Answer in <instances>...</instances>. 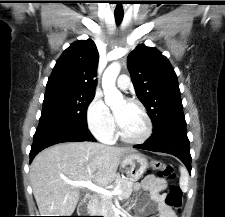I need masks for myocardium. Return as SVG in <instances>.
I'll return each instance as SVG.
<instances>
[{
    "label": "myocardium",
    "mask_w": 225,
    "mask_h": 217,
    "mask_svg": "<svg viewBox=\"0 0 225 217\" xmlns=\"http://www.w3.org/2000/svg\"><path fill=\"white\" fill-rule=\"evenodd\" d=\"M126 101L128 103L134 105L135 107H137L139 109V111L141 112V114L143 115V118L145 120V130L140 137L130 138L123 134L119 123H117L118 136L125 143L133 144V145L142 144V143L146 142L152 135L153 126H152L151 118H150L146 108L140 101H138L136 99H132V98H129Z\"/></svg>",
    "instance_id": "f54148a6"
}]
</instances>
